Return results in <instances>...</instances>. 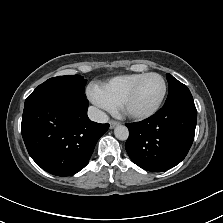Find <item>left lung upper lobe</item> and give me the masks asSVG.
Returning <instances> with one entry per match:
<instances>
[{
  "label": "left lung upper lobe",
  "instance_id": "obj_1",
  "mask_svg": "<svg viewBox=\"0 0 223 223\" xmlns=\"http://www.w3.org/2000/svg\"><path fill=\"white\" fill-rule=\"evenodd\" d=\"M169 93L164 106L173 104H194L189 89L171 74H167Z\"/></svg>",
  "mask_w": 223,
  "mask_h": 223
}]
</instances>
